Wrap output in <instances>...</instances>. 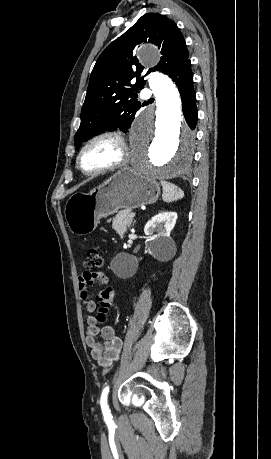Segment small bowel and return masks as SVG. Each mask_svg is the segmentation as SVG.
<instances>
[{"label": "small bowel", "mask_w": 271, "mask_h": 459, "mask_svg": "<svg viewBox=\"0 0 271 459\" xmlns=\"http://www.w3.org/2000/svg\"><path fill=\"white\" fill-rule=\"evenodd\" d=\"M95 283H108V276L104 271H86L78 279L82 305L88 312H93L96 308L95 302L88 295V287ZM87 324L86 343L92 358L102 367H111L120 357L122 340L116 335L113 327L100 326L93 315L87 316Z\"/></svg>", "instance_id": "1"}]
</instances>
